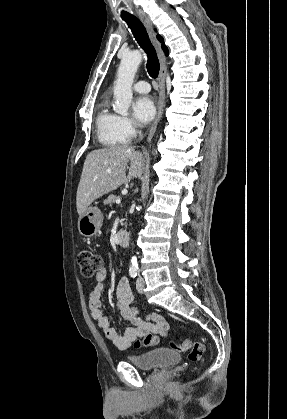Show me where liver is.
I'll list each match as a JSON object with an SVG mask.
<instances>
[{
    "label": "liver",
    "instance_id": "1",
    "mask_svg": "<svg viewBox=\"0 0 287 419\" xmlns=\"http://www.w3.org/2000/svg\"><path fill=\"white\" fill-rule=\"evenodd\" d=\"M130 162L126 175V166ZM145 166L144 155L125 145L96 149L84 161L77 189L76 206L79 216L96 199L102 197L133 178H140Z\"/></svg>",
    "mask_w": 287,
    "mask_h": 419
}]
</instances>
